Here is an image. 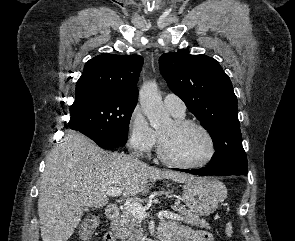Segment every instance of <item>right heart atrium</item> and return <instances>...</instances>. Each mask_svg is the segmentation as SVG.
Instances as JSON below:
<instances>
[{
	"label": "right heart atrium",
	"instance_id": "right-heart-atrium-1",
	"mask_svg": "<svg viewBox=\"0 0 295 241\" xmlns=\"http://www.w3.org/2000/svg\"><path fill=\"white\" fill-rule=\"evenodd\" d=\"M128 143L140 154H148L157 142V134L151 128L140 108H135L128 120Z\"/></svg>",
	"mask_w": 295,
	"mask_h": 241
}]
</instances>
